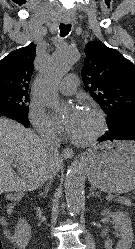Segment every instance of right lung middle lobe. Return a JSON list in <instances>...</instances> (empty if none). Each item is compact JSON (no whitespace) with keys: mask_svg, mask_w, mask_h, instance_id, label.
<instances>
[{"mask_svg":"<svg viewBox=\"0 0 135 249\" xmlns=\"http://www.w3.org/2000/svg\"><path fill=\"white\" fill-rule=\"evenodd\" d=\"M27 91H0V107L11 108L23 115L29 110Z\"/></svg>","mask_w":135,"mask_h":249,"instance_id":"right-lung-middle-lobe-1","label":"right lung middle lobe"}]
</instances>
